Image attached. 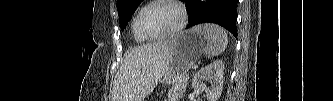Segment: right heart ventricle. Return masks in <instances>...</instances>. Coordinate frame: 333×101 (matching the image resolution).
Returning a JSON list of instances; mask_svg holds the SVG:
<instances>
[{
  "mask_svg": "<svg viewBox=\"0 0 333 101\" xmlns=\"http://www.w3.org/2000/svg\"><path fill=\"white\" fill-rule=\"evenodd\" d=\"M137 15H138V13L132 19L131 29H132V33H133V37H134L135 41L138 43H142V42H145L147 39L144 38L142 35H140V33L137 30V27H136Z\"/></svg>",
  "mask_w": 333,
  "mask_h": 101,
  "instance_id": "e07e8e85",
  "label": "right heart ventricle"
}]
</instances>
